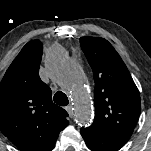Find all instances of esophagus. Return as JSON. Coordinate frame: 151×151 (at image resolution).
Instances as JSON below:
<instances>
[{
	"mask_svg": "<svg viewBox=\"0 0 151 151\" xmlns=\"http://www.w3.org/2000/svg\"><path fill=\"white\" fill-rule=\"evenodd\" d=\"M65 110L68 112L69 115H72V107H71V105L66 106Z\"/></svg>",
	"mask_w": 151,
	"mask_h": 151,
	"instance_id": "esophagus-1",
	"label": "esophagus"
}]
</instances>
